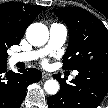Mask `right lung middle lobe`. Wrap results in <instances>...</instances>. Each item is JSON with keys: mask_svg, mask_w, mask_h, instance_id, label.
Masks as SVG:
<instances>
[{"mask_svg": "<svg viewBox=\"0 0 108 108\" xmlns=\"http://www.w3.org/2000/svg\"><path fill=\"white\" fill-rule=\"evenodd\" d=\"M13 44L7 41L4 37L0 35V64H5L7 61V48Z\"/></svg>", "mask_w": 108, "mask_h": 108, "instance_id": "1", "label": "right lung middle lobe"}]
</instances>
